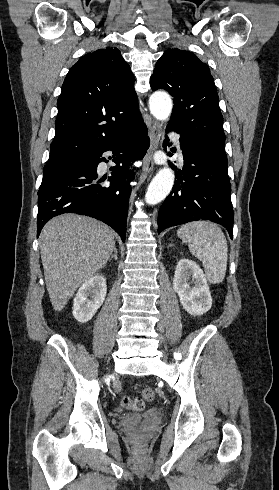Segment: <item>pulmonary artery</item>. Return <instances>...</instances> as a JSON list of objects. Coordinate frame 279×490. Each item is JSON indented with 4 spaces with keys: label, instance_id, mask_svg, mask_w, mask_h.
<instances>
[{
    "label": "pulmonary artery",
    "instance_id": "1",
    "mask_svg": "<svg viewBox=\"0 0 279 490\" xmlns=\"http://www.w3.org/2000/svg\"><path fill=\"white\" fill-rule=\"evenodd\" d=\"M170 134H171V135H174V134H175V131H174V130H171V131H170Z\"/></svg>",
    "mask_w": 279,
    "mask_h": 490
}]
</instances>
